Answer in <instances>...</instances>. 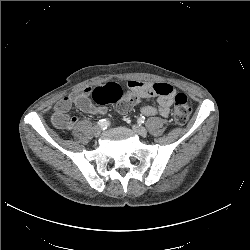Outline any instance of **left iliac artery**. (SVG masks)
I'll return each instance as SVG.
<instances>
[{"label":"left iliac artery","instance_id":"44dca946","mask_svg":"<svg viewBox=\"0 0 250 250\" xmlns=\"http://www.w3.org/2000/svg\"><path fill=\"white\" fill-rule=\"evenodd\" d=\"M138 123H144L145 122V117L141 116L137 119Z\"/></svg>","mask_w":250,"mask_h":250}]
</instances>
